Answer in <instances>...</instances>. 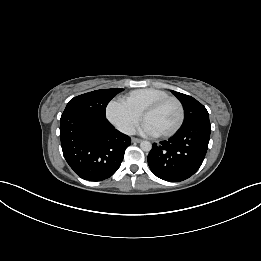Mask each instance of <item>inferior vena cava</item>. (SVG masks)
Returning a JSON list of instances; mask_svg holds the SVG:
<instances>
[{
  "label": "inferior vena cava",
  "mask_w": 261,
  "mask_h": 261,
  "mask_svg": "<svg viewBox=\"0 0 261 261\" xmlns=\"http://www.w3.org/2000/svg\"><path fill=\"white\" fill-rule=\"evenodd\" d=\"M120 131L127 135H134L136 130L133 126H123L120 128Z\"/></svg>",
  "instance_id": "obj_1"
}]
</instances>
